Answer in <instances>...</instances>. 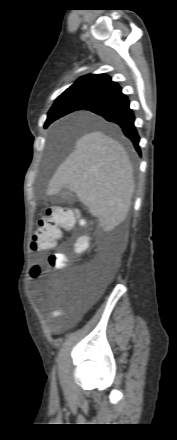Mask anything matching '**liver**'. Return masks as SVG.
Wrapping results in <instances>:
<instances>
[{
  "mask_svg": "<svg viewBox=\"0 0 177 440\" xmlns=\"http://www.w3.org/2000/svg\"><path fill=\"white\" fill-rule=\"evenodd\" d=\"M63 187L77 195L104 231H111L126 219L135 188L126 150L103 132L84 134L57 168L46 194L56 195Z\"/></svg>",
  "mask_w": 177,
  "mask_h": 440,
  "instance_id": "obj_1",
  "label": "liver"
}]
</instances>
